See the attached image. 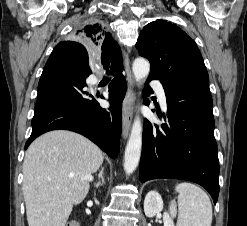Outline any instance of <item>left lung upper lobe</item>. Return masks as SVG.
<instances>
[{"mask_svg":"<svg viewBox=\"0 0 247 226\" xmlns=\"http://www.w3.org/2000/svg\"><path fill=\"white\" fill-rule=\"evenodd\" d=\"M136 48L151 64L149 76L160 79L163 85L185 76L208 80L196 43L182 29L165 20L147 24L139 35Z\"/></svg>","mask_w":247,"mask_h":226,"instance_id":"5c2ea615","label":"left lung upper lobe"}]
</instances>
